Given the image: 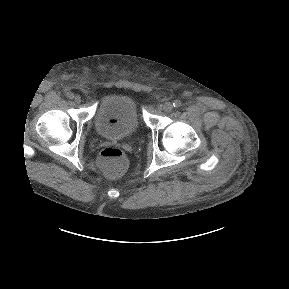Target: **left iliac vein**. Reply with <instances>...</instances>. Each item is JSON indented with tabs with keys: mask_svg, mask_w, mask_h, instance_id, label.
Returning a JSON list of instances; mask_svg holds the SVG:
<instances>
[{
	"mask_svg": "<svg viewBox=\"0 0 289 289\" xmlns=\"http://www.w3.org/2000/svg\"><path fill=\"white\" fill-rule=\"evenodd\" d=\"M172 109H173V105H172L171 102H165L162 105V110L165 111V112H170Z\"/></svg>",
	"mask_w": 289,
	"mask_h": 289,
	"instance_id": "obj_1",
	"label": "left iliac vein"
}]
</instances>
